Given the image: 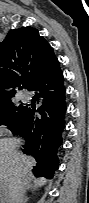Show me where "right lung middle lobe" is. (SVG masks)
I'll list each match as a JSON object with an SVG mask.
<instances>
[{"instance_id":"1","label":"right lung middle lobe","mask_w":89,"mask_h":203,"mask_svg":"<svg viewBox=\"0 0 89 203\" xmlns=\"http://www.w3.org/2000/svg\"><path fill=\"white\" fill-rule=\"evenodd\" d=\"M26 112V107H15L13 102L0 106V125H6L13 132Z\"/></svg>"}]
</instances>
